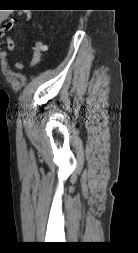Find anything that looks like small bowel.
I'll use <instances>...</instances> for the list:
<instances>
[{"label":"small bowel","instance_id":"c3829d8e","mask_svg":"<svg viewBox=\"0 0 138 253\" xmlns=\"http://www.w3.org/2000/svg\"><path fill=\"white\" fill-rule=\"evenodd\" d=\"M26 20H30L31 19V14L30 13H21ZM6 13H3L2 15H0V24L2 23V21L5 19L6 17ZM15 25V19H9L5 25L3 27L0 28V41L4 46V50L1 52V57L3 59L6 58L7 53L11 52L14 50L15 48V44L14 41L10 38L9 36V32L10 30L14 27ZM23 64L21 61L17 62L16 64V68L17 69H22Z\"/></svg>","mask_w":138,"mask_h":253}]
</instances>
